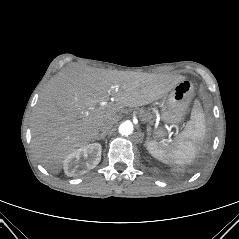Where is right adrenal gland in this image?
Wrapping results in <instances>:
<instances>
[{
	"label": "right adrenal gland",
	"instance_id": "1",
	"mask_svg": "<svg viewBox=\"0 0 239 239\" xmlns=\"http://www.w3.org/2000/svg\"><path fill=\"white\" fill-rule=\"evenodd\" d=\"M104 136H105V133H102V134H100V135L97 137V139H98V140L104 139Z\"/></svg>",
	"mask_w": 239,
	"mask_h": 239
}]
</instances>
